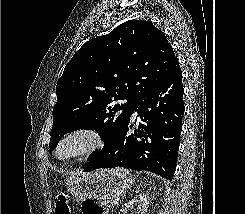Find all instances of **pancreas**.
<instances>
[{"instance_id": "cf45deb5", "label": "pancreas", "mask_w": 245, "mask_h": 214, "mask_svg": "<svg viewBox=\"0 0 245 214\" xmlns=\"http://www.w3.org/2000/svg\"><path fill=\"white\" fill-rule=\"evenodd\" d=\"M113 202H114L113 200H102L101 204L105 205L107 207H113V205H114Z\"/></svg>"}]
</instances>
